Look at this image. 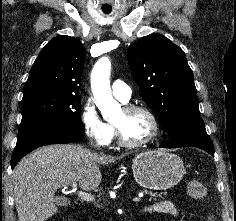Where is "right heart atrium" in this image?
<instances>
[{
	"mask_svg": "<svg viewBox=\"0 0 236 221\" xmlns=\"http://www.w3.org/2000/svg\"><path fill=\"white\" fill-rule=\"evenodd\" d=\"M80 121L85 135L96 145L107 146L111 143L114 130L110 124L101 118L91 99L82 104Z\"/></svg>",
	"mask_w": 236,
	"mask_h": 221,
	"instance_id": "obj_1",
	"label": "right heart atrium"
}]
</instances>
